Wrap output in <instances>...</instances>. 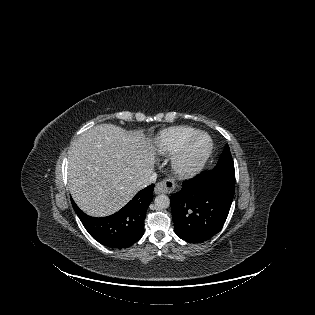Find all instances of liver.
<instances>
[{"instance_id":"1","label":"liver","mask_w":315,"mask_h":315,"mask_svg":"<svg viewBox=\"0 0 315 315\" xmlns=\"http://www.w3.org/2000/svg\"><path fill=\"white\" fill-rule=\"evenodd\" d=\"M155 160V148L143 134L113 124L97 125L69 150V191L88 215H111L142 189Z\"/></svg>"}]
</instances>
